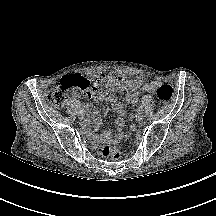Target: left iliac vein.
<instances>
[{"label":"left iliac vein","mask_w":216,"mask_h":216,"mask_svg":"<svg viewBox=\"0 0 216 216\" xmlns=\"http://www.w3.org/2000/svg\"><path fill=\"white\" fill-rule=\"evenodd\" d=\"M144 117H145L144 113L141 112V113L139 114V119L142 120Z\"/></svg>","instance_id":"1"}]
</instances>
